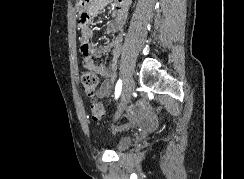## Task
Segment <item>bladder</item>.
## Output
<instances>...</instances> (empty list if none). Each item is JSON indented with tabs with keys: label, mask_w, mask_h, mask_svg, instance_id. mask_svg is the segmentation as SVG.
<instances>
[{
	"label": "bladder",
	"mask_w": 244,
	"mask_h": 179,
	"mask_svg": "<svg viewBox=\"0 0 244 179\" xmlns=\"http://www.w3.org/2000/svg\"><path fill=\"white\" fill-rule=\"evenodd\" d=\"M134 137H122L118 141L117 150L119 152L126 151L130 147L134 146Z\"/></svg>",
	"instance_id": "bladder-1"
}]
</instances>
